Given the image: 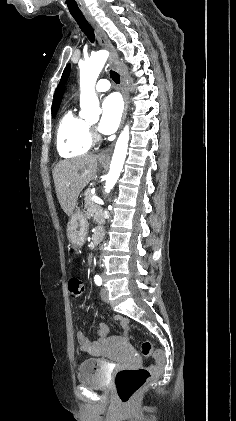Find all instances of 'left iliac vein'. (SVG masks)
I'll use <instances>...</instances> for the list:
<instances>
[{
  "label": "left iliac vein",
  "mask_w": 236,
  "mask_h": 421,
  "mask_svg": "<svg viewBox=\"0 0 236 421\" xmlns=\"http://www.w3.org/2000/svg\"><path fill=\"white\" fill-rule=\"evenodd\" d=\"M101 298L104 302L109 301V292H108V289L106 287L101 288Z\"/></svg>",
  "instance_id": "obj_1"
}]
</instances>
